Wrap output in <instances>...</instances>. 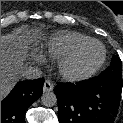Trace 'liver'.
Here are the masks:
<instances>
[{"label":"liver","instance_id":"obj_1","mask_svg":"<svg viewBox=\"0 0 123 123\" xmlns=\"http://www.w3.org/2000/svg\"><path fill=\"white\" fill-rule=\"evenodd\" d=\"M39 38L37 29H29L25 25L1 36V100L22 76L30 45Z\"/></svg>","mask_w":123,"mask_h":123}]
</instances>
